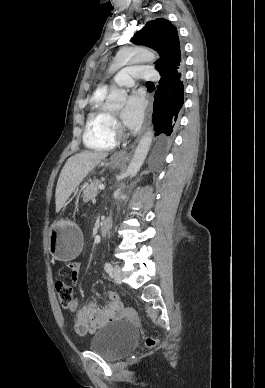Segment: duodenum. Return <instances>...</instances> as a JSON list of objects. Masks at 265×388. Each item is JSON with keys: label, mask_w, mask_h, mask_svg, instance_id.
I'll return each instance as SVG.
<instances>
[{"label": "duodenum", "mask_w": 265, "mask_h": 388, "mask_svg": "<svg viewBox=\"0 0 265 388\" xmlns=\"http://www.w3.org/2000/svg\"><path fill=\"white\" fill-rule=\"evenodd\" d=\"M112 226V220L110 218H105L100 225V233L102 235H106Z\"/></svg>", "instance_id": "1"}]
</instances>
